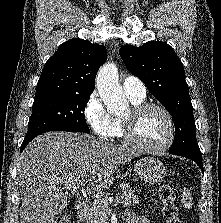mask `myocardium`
I'll return each mask as SVG.
<instances>
[{
  "mask_svg": "<svg viewBox=\"0 0 221 223\" xmlns=\"http://www.w3.org/2000/svg\"><path fill=\"white\" fill-rule=\"evenodd\" d=\"M156 109L161 111L167 118L169 125V134L166 141L161 145L151 146L144 143H141L136 140L134 136L135 132V121L142 113L147 110ZM122 124V139L131 147L145 152H161L167 150L175 141L176 138V125L174 122L173 115L171 112L163 105L152 102H142L135 104L131 109V114L128 118H123L121 121Z\"/></svg>",
  "mask_w": 221,
  "mask_h": 223,
  "instance_id": "1",
  "label": "myocardium"
}]
</instances>
